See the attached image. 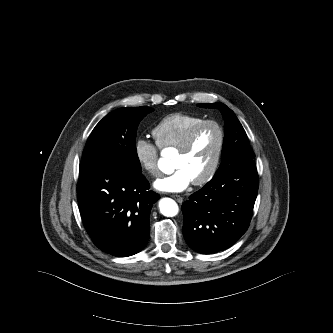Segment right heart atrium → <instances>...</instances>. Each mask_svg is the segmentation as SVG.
Segmentation results:
<instances>
[{"instance_id": "obj_1", "label": "right heart atrium", "mask_w": 333, "mask_h": 333, "mask_svg": "<svg viewBox=\"0 0 333 333\" xmlns=\"http://www.w3.org/2000/svg\"><path fill=\"white\" fill-rule=\"evenodd\" d=\"M134 155L146 173L153 177L159 176V147L157 144L145 138H138L134 143Z\"/></svg>"}]
</instances>
